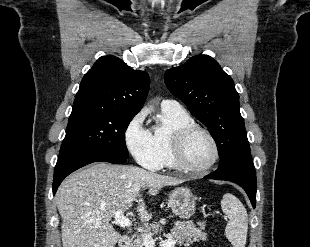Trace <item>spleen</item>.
I'll use <instances>...</instances> for the list:
<instances>
[{"mask_svg": "<svg viewBox=\"0 0 310 247\" xmlns=\"http://www.w3.org/2000/svg\"><path fill=\"white\" fill-rule=\"evenodd\" d=\"M222 211L228 216L229 222L225 234L233 247H245L248 231V214L233 194L226 193L221 200Z\"/></svg>", "mask_w": 310, "mask_h": 247, "instance_id": "3e777b00", "label": "spleen"}]
</instances>
